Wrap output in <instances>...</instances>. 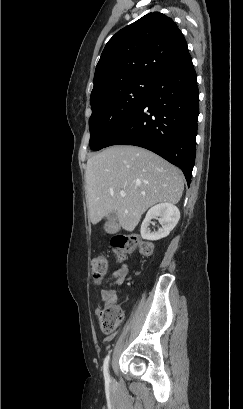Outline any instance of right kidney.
<instances>
[{"label": "right kidney", "mask_w": 243, "mask_h": 409, "mask_svg": "<svg viewBox=\"0 0 243 409\" xmlns=\"http://www.w3.org/2000/svg\"><path fill=\"white\" fill-rule=\"evenodd\" d=\"M158 218L162 227L156 232H151L149 224L152 219ZM180 219L179 209L171 203H161L150 208L141 224V236L146 240H159L165 238L174 229Z\"/></svg>", "instance_id": "obj_1"}]
</instances>
